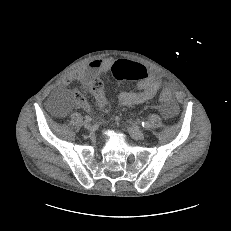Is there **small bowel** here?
Instances as JSON below:
<instances>
[{"label":"small bowel","mask_w":231,"mask_h":231,"mask_svg":"<svg viewBox=\"0 0 231 231\" xmlns=\"http://www.w3.org/2000/svg\"><path fill=\"white\" fill-rule=\"evenodd\" d=\"M113 64L114 60L112 58L92 60L87 66L65 75L61 80V85L68 86L73 82H79L86 90L92 91L91 85L93 81L100 76H106ZM162 86L163 80L157 74L147 72L145 78L138 80L136 91L120 92L117 95V100L119 104L123 106L139 105L154 98ZM95 97L100 106L99 97L97 95H95ZM73 98L78 107L89 110V104L81 93L74 91ZM161 112L166 118H172L177 113V105L172 103L163 108Z\"/></svg>","instance_id":"c3829d8e"}]
</instances>
